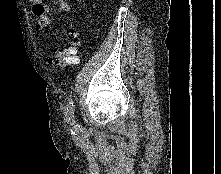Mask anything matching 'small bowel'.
Here are the masks:
<instances>
[{
  "label": "small bowel",
  "instance_id": "obj_1",
  "mask_svg": "<svg viewBox=\"0 0 221 174\" xmlns=\"http://www.w3.org/2000/svg\"><path fill=\"white\" fill-rule=\"evenodd\" d=\"M33 3V14L38 18V23L42 27H48L52 23L51 9L43 0H30ZM60 12H68L70 3L68 0H53Z\"/></svg>",
  "mask_w": 221,
  "mask_h": 174
}]
</instances>
